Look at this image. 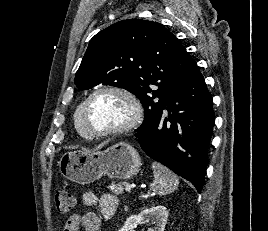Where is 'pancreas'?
<instances>
[{"instance_id":"cf45deb5","label":"pancreas","mask_w":268,"mask_h":231,"mask_svg":"<svg viewBox=\"0 0 268 231\" xmlns=\"http://www.w3.org/2000/svg\"><path fill=\"white\" fill-rule=\"evenodd\" d=\"M124 184L123 183H116L112 182L110 186H108V189L114 194L119 195L122 194L124 191Z\"/></svg>"}]
</instances>
